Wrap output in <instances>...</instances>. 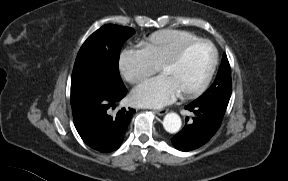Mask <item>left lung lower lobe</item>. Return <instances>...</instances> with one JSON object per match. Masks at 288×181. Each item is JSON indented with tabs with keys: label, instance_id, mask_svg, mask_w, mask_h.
Returning <instances> with one entry per match:
<instances>
[{
	"label": "left lung lower lobe",
	"instance_id": "obj_1",
	"mask_svg": "<svg viewBox=\"0 0 288 181\" xmlns=\"http://www.w3.org/2000/svg\"><path fill=\"white\" fill-rule=\"evenodd\" d=\"M185 109L193 112V123L187 124L172 139V144L180 151H191L207 143L222 122L225 110L210 104L192 102Z\"/></svg>",
	"mask_w": 288,
	"mask_h": 181
}]
</instances>
